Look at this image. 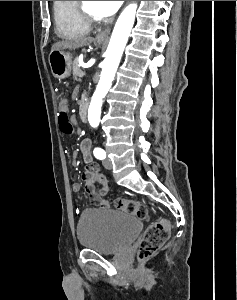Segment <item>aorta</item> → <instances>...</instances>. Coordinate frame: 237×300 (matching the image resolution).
Returning <instances> with one entry per match:
<instances>
[{"label":"aorta","instance_id":"762f6f07","mask_svg":"<svg viewBox=\"0 0 237 300\" xmlns=\"http://www.w3.org/2000/svg\"><path fill=\"white\" fill-rule=\"evenodd\" d=\"M136 11L137 5L133 3V5L126 7L117 19L106 51V59L103 61L100 81L88 109V121L91 127H98L100 123L103 99L112 85L123 51L127 45L128 37H130L134 25Z\"/></svg>","mask_w":237,"mask_h":300}]
</instances>
